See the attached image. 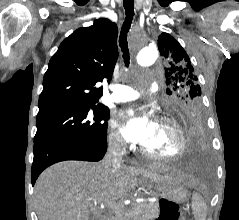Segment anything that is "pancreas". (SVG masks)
Here are the masks:
<instances>
[{"label": "pancreas", "mask_w": 239, "mask_h": 220, "mask_svg": "<svg viewBox=\"0 0 239 220\" xmlns=\"http://www.w3.org/2000/svg\"><path fill=\"white\" fill-rule=\"evenodd\" d=\"M158 215H159V204L154 202L135 205L129 212V216H131L132 220H152L158 217Z\"/></svg>", "instance_id": "pancreas-1"}]
</instances>
